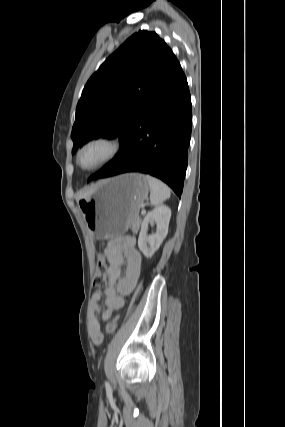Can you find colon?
I'll return each instance as SVG.
<instances>
[{"mask_svg":"<svg viewBox=\"0 0 285 427\" xmlns=\"http://www.w3.org/2000/svg\"><path fill=\"white\" fill-rule=\"evenodd\" d=\"M107 275H108V266L104 256L100 254L97 262L95 274L93 277V287L97 289L102 288L106 284ZM117 322H118V317H115L112 320H110L106 325V332L107 333L114 332L117 326Z\"/></svg>","mask_w":285,"mask_h":427,"instance_id":"obj_1","label":"colon"}]
</instances>
